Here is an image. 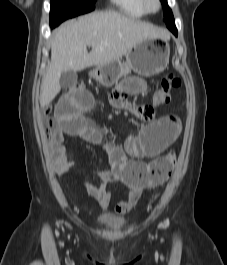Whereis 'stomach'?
I'll list each match as a JSON object with an SVG mask.
<instances>
[{
  "label": "stomach",
  "mask_w": 227,
  "mask_h": 265,
  "mask_svg": "<svg viewBox=\"0 0 227 265\" xmlns=\"http://www.w3.org/2000/svg\"><path fill=\"white\" fill-rule=\"evenodd\" d=\"M170 46L158 38L146 39L126 53V61H113L103 66H98L90 71L89 75L106 87L113 85L125 75L135 73L150 77L163 72L169 63Z\"/></svg>",
  "instance_id": "obj_1"
}]
</instances>
